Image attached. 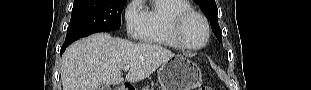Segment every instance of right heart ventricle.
I'll return each instance as SVG.
<instances>
[{"label": "right heart ventricle", "instance_id": "e07e8e85", "mask_svg": "<svg viewBox=\"0 0 311 90\" xmlns=\"http://www.w3.org/2000/svg\"><path fill=\"white\" fill-rule=\"evenodd\" d=\"M193 10L187 0H154L144 10L141 40L170 48H181L172 32L173 20L181 12Z\"/></svg>", "mask_w": 311, "mask_h": 90}]
</instances>
